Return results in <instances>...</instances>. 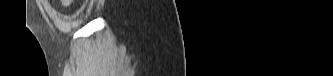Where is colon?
<instances>
[{
	"label": "colon",
	"instance_id": "obj_1",
	"mask_svg": "<svg viewBox=\"0 0 333 76\" xmlns=\"http://www.w3.org/2000/svg\"><path fill=\"white\" fill-rule=\"evenodd\" d=\"M72 1L71 0H62V3L67 6L71 3Z\"/></svg>",
	"mask_w": 333,
	"mask_h": 76
}]
</instances>
